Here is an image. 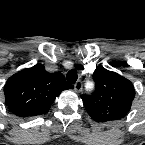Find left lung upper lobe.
Masks as SVG:
<instances>
[{
  "mask_svg": "<svg viewBox=\"0 0 145 145\" xmlns=\"http://www.w3.org/2000/svg\"><path fill=\"white\" fill-rule=\"evenodd\" d=\"M93 78L94 92L81 97L91 118L102 123L126 116L135 96L131 81L103 67L95 69Z\"/></svg>",
  "mask_w": 145,
  "mask_h": 145,
  "instance_id": "obj_1",
  "label": "left lung upper lobe"
}]
</instances>
